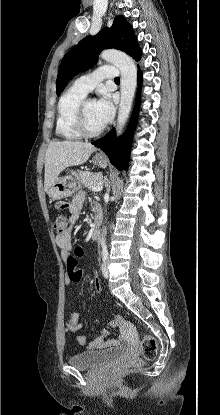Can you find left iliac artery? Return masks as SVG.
Wrapping results in <instances>:
<instances>
[{"label": "left iliac artery", "instance_id": "obj_1", "mask_svg": "<svg viewBox=\"0 0 220 415\" xmlns=\"http://www.w3.org/2000/svg\"><path fill=\"white\" fill-rule=\"evenodd\" d=\"M102 257L103 261H105L108 257V250L106 244H102Z\"/></svg>", "mask_w": 220, "mask_h": 415}]
</instances>
